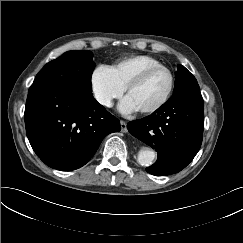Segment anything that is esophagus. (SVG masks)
<instances>
[{
  "label": "esophagus",
  "instance_id": "1",
  "mask_svg": "<svg viewBox=\"0 0 243 243\" xmlns=\"http://www.w3.org/2000/svg\"><path fill=\"white\" fill-rule=\"evenodd\" d=\"M120 125H121L122 132L126 133L127 132V124L124 121L121 120Z\"/></svg>",
  "mask_w": 243,
  "mask_h": 243
}]
</instances>
